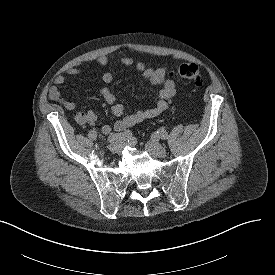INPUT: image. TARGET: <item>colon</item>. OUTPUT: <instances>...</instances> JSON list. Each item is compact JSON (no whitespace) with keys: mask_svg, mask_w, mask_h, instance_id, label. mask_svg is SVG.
I'll use <instances>...</instances> for the list:
<instances>
[{"mask_svg":"<svg viewBox=\"0 0 275 275\" xmlns=\"http://www.w3.org/2000/svg\"><path fill=\"white\" fill-rule=\"evenodd\" d=\"M170 73L182 79L188 80L196 86H201L203 84V76L199 67L195 64L178 65L173 68Z\"/></svg>","mask_w":275,"mask_h":275,"instance_id":"colon-1","label":"colon"}]
</instances>
